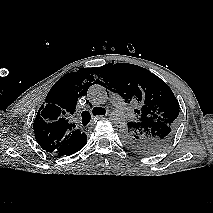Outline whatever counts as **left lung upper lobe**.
Returning a JSON list of instances; mask_svg holds the SVG:
<instances>
[{
	"mask_svg": "<svg viewBox=\"0 0 213 213\" xmlns=\"http://www.w3.org/2000/svg\"><path fill=\"white\" fill-rule=\"evenodd\" d=\"M100 85L136 106V119L122 131L126 145L141 154H155L172 141L178 125L179 103L169 86L149 70L110 63L95 71Z\"/></svg>",
	"mask_w": 213,
	"mask_h": 213,
	"instance_id": "obj_1",
	"label": "left lung upper lobe"
}]
</instances>
